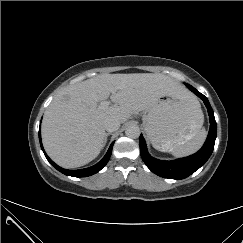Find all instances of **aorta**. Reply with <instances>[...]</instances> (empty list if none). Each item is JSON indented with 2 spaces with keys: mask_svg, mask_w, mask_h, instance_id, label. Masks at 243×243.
<instances>
[{
  "mask_svg": "<svg viewBox=\"0 0 243 243\" xmlns=\"http://www.w3.org/2000/svg\"><path fill=\"white\" fill-rule=\"evenodd\" d=\"M125 134L129 138H138L140 136V129L136 125H130L126 128Z\"/></svg>",
  "mask_w": 243,
  "mask_h": 243,
  "instance_id": "obj_1",
  "label": "aorta"
}]
</instances>
